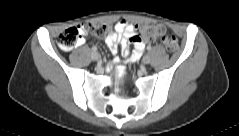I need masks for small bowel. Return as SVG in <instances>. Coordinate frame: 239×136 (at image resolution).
Wrapping results in <instances>:
<instances>
[{"mask_svg": "<svg viewBox=\"0 0 239 136\" xmlns=\"http://www.w3.org/2000/svg\"><path fill=\"white\" fill-rule=\"evenodd\" d=\"M106 44L113 55L116 56L120 50L121 54L129 61H137L145 48L142 40L136 39L134 26L125 20L115 24L114 31L106 37Z\"/></svg>", "mask_w": 239, "mask_h": 136, "instance_id": "1", "label": "small bowel"}]
</instances>
